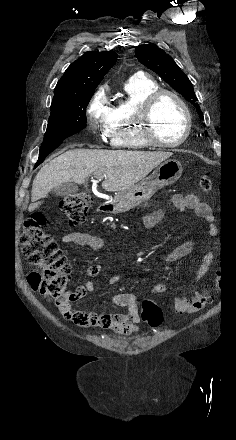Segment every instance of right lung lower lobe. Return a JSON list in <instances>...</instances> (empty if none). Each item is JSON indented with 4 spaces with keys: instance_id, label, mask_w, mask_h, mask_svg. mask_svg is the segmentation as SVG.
<instances>
[{
    "instance_id": "obj_1",
    "label": "right lung lower lobe",
    "mask_w": 236,
    "mask_h": 440,
    "mask_svg": "<svg viewBox=\"0 0 236 440\" xmlns=\"http://www.w3.org/2000/svg\"><path fill=\"white\" fill-rule=\"evenodd\" d=\"M61 143H54L49 145H44L40 147L39 159L35 164V167L40 165L52 151H54Z\"/></svg>"
}]
</instances>
